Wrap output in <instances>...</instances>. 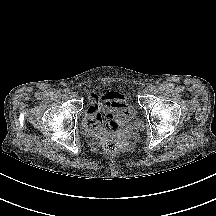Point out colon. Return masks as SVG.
Here are the masks:
<instances>
[{
	"mask_svg": "<svg viewBox=\"0 0 216 216\" xmlns=\"http://www.w3.org/2000/svg\"><path fill=\"white\" fill-rule=\"evenodd\" d=\"M128 146L127 141L118 137H109L104 141L105 150L112 153L125 150Z\"/></svg>",
	"mask_w": 216,
	"mask_h": 216,
	"instance_id": "obj_1",
	"label": "colon"
}]
</instances>
